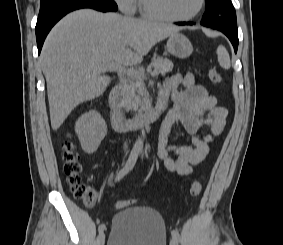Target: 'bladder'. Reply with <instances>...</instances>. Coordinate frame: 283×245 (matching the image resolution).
I'll list each match as a JSON object with an SVG mask.
<instances>
[{"label": "bladder", "instance_id": "1", "mask_svg": "<svg viewBox=\"0 0 283 245\" xmlns=\"http://www.w3.org/2000/svg\"><path fill=\"white\" fill-rule=\"evenodd\" d=\"M164 220L155 209L129 205L112 220L107 245H167Z\"/></svg>", "mask_w": 283, "mask_h": 245}]
</instances>
